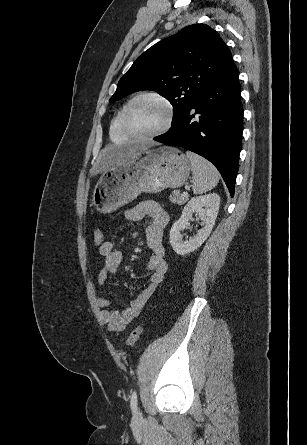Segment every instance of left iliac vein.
Returning <instances> with one entry per match:
<instances>
[{
	"label": "left iliac vein",
	"mask_w": 307,
	"mask_h": 445,
	"mask_svg": "<svg viewBox=\"0 0 307 445\" xmlns=\"http://www.w3.org/2000/svg\"><path fill=\"white\" fill-rule=\"evenodd\" d=\"M134 417H135V419H139L141 417V414L139 412H136Z\"/></svg>",
	"instance_id": "4c4485c4"
}]
</instances>
